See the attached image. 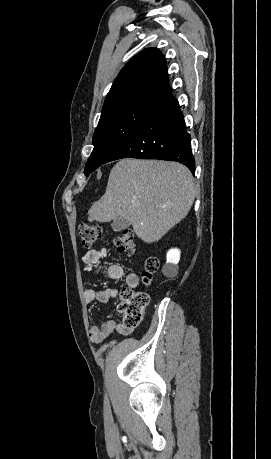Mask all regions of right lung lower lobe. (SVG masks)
Here are the masks:
<instances>
[{"label": "right lung lower lobe", "mask_w": 271, "mask_h": 459, "mask_svg": "<svg viewBox=\"0 0 271 459\" xmlns=\"http://www.w3.org/2000/svg\"><path fill=\"white\" fill-rule=\"evenodd\" d=\"M191 137L177 100L138 128L106 160L121 158L176 161L195 173Z\"/></svg>", "instance_id": "obj_1"}]
</instances>
